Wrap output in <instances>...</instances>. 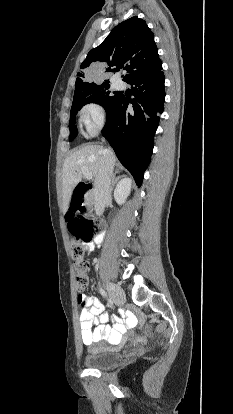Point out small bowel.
<instances>
[{"label":"small bowel","mask_w":233,"mask_h":414,"mask_svg":"<svg viewBox=\"0 0 233 414\" xmlns=\"http://www.w3.org/2000/svg\"><path fill=\"white\" fill-rule=\"evenodd\" d=\"M104 235L99 234L94 242L86 243V249L93 251L95 244L103 240ZM79 311L81 339L84 345L91 346L100 340H106L108 343L118 345L123 340V334L135 327L137 323L136 316L128 311L126 321L123 323L118 317L113 318V327L107 324L109 316L105 312L100 300L93 296H87L85 291L79 292Z\"/></svg>","instance_id":"small-bowel-1"}]
</instances>
